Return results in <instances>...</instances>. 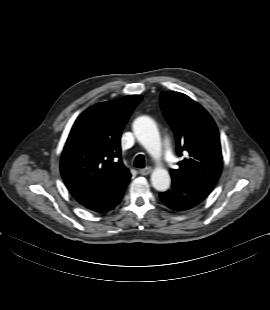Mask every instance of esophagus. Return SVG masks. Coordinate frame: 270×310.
Returning <instances> with one entry per match:
<instances>
[{
  "mask_svg": "<svg viewBox=\"0 0 270 310\" xmlns=\"http://www.w3.org/2000/svg\"><path fill=\"white\" fill-rule=\"evenodd\" d=\"M151 172H152V168L151 167H146V168H143V169L139 170V173L141 175H144V176L150 174Z\"/></svg>",
  "mask_w": 270,
  "mask_h": 310,
  "instance_id": "1",
  "label": "esophagus"
}]
</instances>
